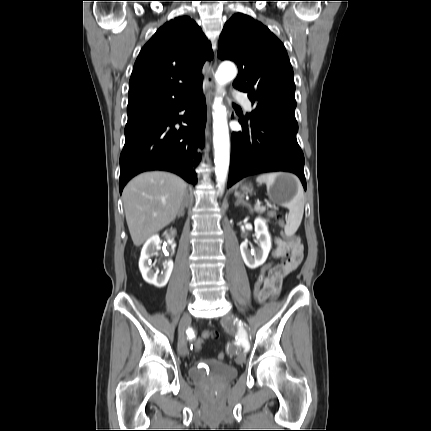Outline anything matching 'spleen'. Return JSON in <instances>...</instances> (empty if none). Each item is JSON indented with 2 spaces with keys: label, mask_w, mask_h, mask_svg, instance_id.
<instances>
[{
  "label": "spleen",
  "mask_w": 431,
  "mask_h": 431,
  "mask_svg": "<svg viewBox=\"0 0 431 431\" xmlns=\"http://www.w3.org/2000/svg\"><path fill=\"white\" fill-rule=\"evenodd\" d=\"M280 174L281 173L262 174L256 178V181L259 183H266L268 187L275 182ZM304 203V191L299 184L296 196L287 204V208L289 209L288 222L285 226V233L287 236L293 235L299 228L304 213Z\"/></svg>",
  "instance_id": "obj_1"
}]
</instances>
